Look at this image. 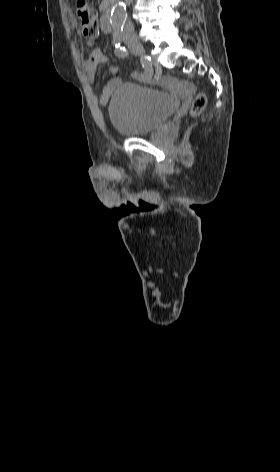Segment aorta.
<instances>
[{
    "label": "aorta",
    "mask_w": 280,
    "mask_h": 472,
    "mask_svg": "<svg viewBox=\"0 0 280 472\" xmlns=\"http://www.w3.org/2000/svg\"><path fill=\"white\" fill-rule=\"evenodd\" d=\"M126 7L122 2H118L114 5L111 13V25L114 29H119L122 27L124 21L126 20Z\"/></svg>",
    "instance_id": "obj_1"
}]
</instances>
